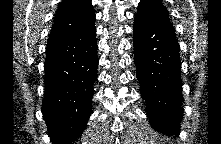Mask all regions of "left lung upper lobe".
Returning a JSON list of instances; mask_svg holds the SVG:
<instances>
[{
  "label": "left lung upper lobe",
  "mask_w": 221,
  "mask_h": 144,
  "mask_svg": "<svg viewBox=\"0 0 221 144\" xmlns=\"http://www.w3.org/2000/svg\"><path fill=\"white\" fill-rule=\"evenodd\" d=\"M135 17L171 24L168 11L161 0H141Z\"/></svg>",
  "instance_id": "5c2ea615"
}]
</instances>
